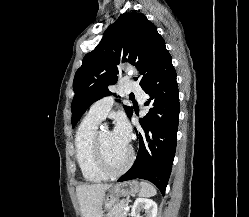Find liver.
Segmentation results:
<instances>
[{
  "label": "liver",
  "instance_id": "liver-1",
  "mask_svg": "<svg viewBox=\"0 0 249 217\" xmlns=\"http://www.w3.org/2000/svg\"><path fill=\"white\" fill-rule=\"evenodd\" d=\"M109 184L80 185L76 188L82 217H102V203Z\"/></svg>",
  "mask_w": 249,
  "mask_h": 217
}]
</instances>
